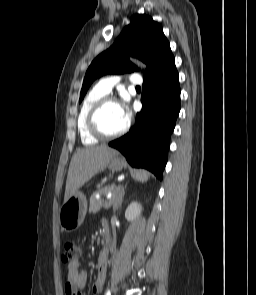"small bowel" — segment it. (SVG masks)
<instances>
[{
  "mask_svg": "<svg viewBox=\"0 0 256 295\" xmlns=\"http://www.w3.org/2000/svg\"><path fill=\"white\" fill-rule=\"evenodd\" d=\"M104 226L107 225L104 223ZM109 249L104 248L98 257L97 276L92 285V291L98 294L102 291L107 276ZM87 283V273L81 268L78 259L69 263L66 270L65 295H82L81 291Z\"/></svg>",
  "mask_w": 256,
  "mask_h": 295,
  "instance_id": "1",
  "label": "small bowel"
}]
</instances>
